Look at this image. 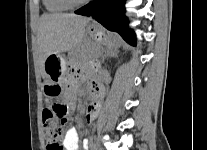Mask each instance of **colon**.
Listing matches in <instances>:
<instances>
[{
  "mask_svg": "<svg viewBox=\"0 0 207 150\" xmlns=\"http://www.w3.org/2000/svg\"><path fill=\"white\" fill-rule=\"evenodd\" d=\"M68 107L52 102L43 111V130L47 150H64L62 144L63 126L67 121Z\"/></svg>",
  "mask_w": 207,
  "mask_h": 150,
  "instance_id": "1",
  "label": "colon"
}]
</instances>
